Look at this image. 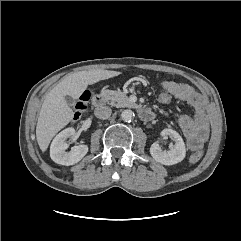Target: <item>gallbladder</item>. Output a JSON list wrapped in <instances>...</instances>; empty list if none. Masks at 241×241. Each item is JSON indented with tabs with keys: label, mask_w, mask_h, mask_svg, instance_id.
Segmentation results:
<instances>
[{
	"label": "gallbladder",
	"mask_w": 241,
	"mask_h": 241,
	"mask_svg": "<svg viewBox=\"0 0 241 241\" xmlns=\"http://www.w3.org/2000/svg\"><path fill=\"white\" fill-rule=\"evenodd\" d=\"M65 101L70 107L74 106L75 104V99L70 95L65 96Z\"/></svg>",
	"instance_id": "obj_1"
}]
</instances>
